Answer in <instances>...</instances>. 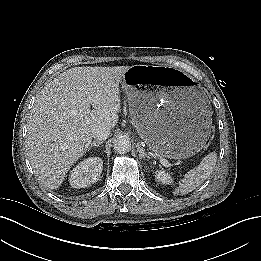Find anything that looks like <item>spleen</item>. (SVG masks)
Masks as SVG:
<instances>
[{"mask_svg": "<svg viewBox=\"0 0 261 261\" xmlns=\"http://www.w3.org/2000/svg\"><path fill=\"white\" fill-rule=\"evenodd\" d=\"M217 162V154L216 152H211L206 155L198 167H195L189 170L185 175L184 178L181 179L179 185L173 191L174 195L178 194H188L192 192L197 187H199L204 180L212 173L215 165Z\"/></svg>", "mask_w": 261, "mask_h": 261, "instance_id": "3e777b00", "label": "spleen"}]
</instances>
